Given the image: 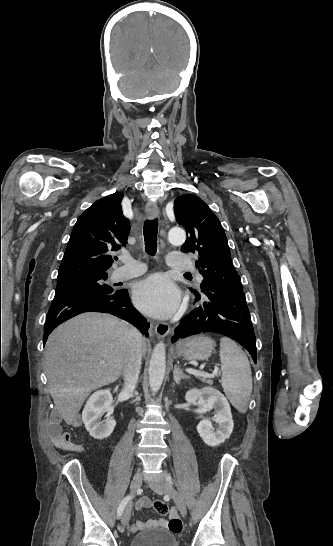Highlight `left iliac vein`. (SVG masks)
I'll use <instances>...</instances> for the list:
<instances>
[{
    "mask_svg": "<svg viewBox=\"0 0 333 546\" xmlns=\"http://www.w3.org/2000/svg\"><path fill=\"white\" fill-rule=\"evenodd\" d=\"M150 488L158 494H168L175 502L182 517L187 514V508L181 495L171 487L164 479H158L150 482Z\"/></svg>",
    "mask_w": 333,
    "mask_h": 546,
    "instance_id": "4c4485c4",
    "label": "left iliac vein"
}]
</instances>
